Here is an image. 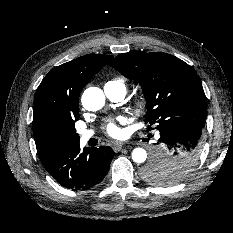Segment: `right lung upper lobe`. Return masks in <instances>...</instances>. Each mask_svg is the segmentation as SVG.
Returning <instances> with one entry per match:
<instances>
[{
	"mask_svg": "<svg viewBox=\"0 0 233 233\" xmlns=\"http://www.w3.org/2000/svg\"><path fill=\"white\" fill-rule=\"evenodd\" d=\"M112 58L111 55H85L53 68L44 77L36 90L32 124L39 155L44 153L45 131L79 114L82 89Z\"/></svg>",
	"mask_w": 233,
	"mask_h": 233,
	"instance_id": "cb5924a9",
	"label": "right lung upper lobe"
}]
</instances>
